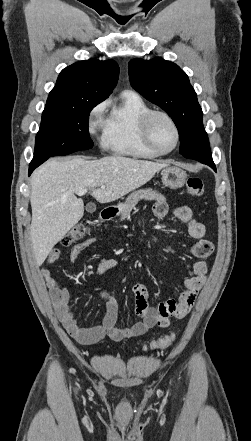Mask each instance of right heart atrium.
Returning <instances> with one entry per match:
<instances>
[{
    "instance_id": "obj_1",
    "label": "right heart atrium",
    "mask_w": 251,
    "mask_h": 441,
    "mask_svg": "<svg viewBox=\"0 0 251 441\" xmlns=\"http://www.w3.org/2000/svg\"><path fill=\"white\" fill-rule=\"evenodd\" d=\"M106 106V102H101L91 110L88 118V130L90 134L96 135L99 131H104L105 120L103 115Z\"/></svg>"
}]
</instances>
